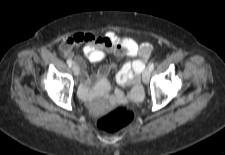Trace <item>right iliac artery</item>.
I'll use <instances>...</instances> for the list:
<instances>
[{
    "label": "right iliac artery",
    "instance_id": "82829eb1",
    "mask_svg": "<svg viewBox=\"0 0 225 155\" xmlns=\"http://www.w3.org/2000/svg\"><path fill=\"white\" fill-rule=\"evenodd\" d=\"M67 64H68L69 66H72V65H73L72 60H71V59H67Z\"/></svg>",
    "mask_w": 225,
    "mask_h": 155
}]
</instances>
